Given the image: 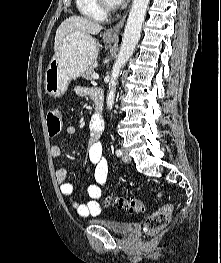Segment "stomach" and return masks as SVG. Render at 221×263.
Here are the masks:
<instances>
[{"label": "stomach", "mask_w": 221, "mask_h": 263, "mask_svg": "<svg viewBox=\"0 0 221 263\" xmlns=\"http://www.w3.org/2000/svg\"><path fill=\"white\" fill-rule=\"evenodd\" d=\"M103 40L106 44L114 42L105 36ZM98 51L96 40L89 34L75 32L64 37L45 71V92L52 97L63 95L69 82L83 75L96 60Z\"/></svg>", "instance_id": "obj_1"}]
</instances>
